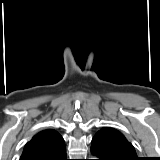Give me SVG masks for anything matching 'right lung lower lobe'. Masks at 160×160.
<instances>
[{"label":"right lung lower lobe","mask_w":160,"mask_h":160,"mask_svg":"<svg viewBox=\"0 0 160 160\" xmlns=\"http://www.w3.org/2000/svg\"><path fill=\"white\" fill-rule=\"evenodd\" d=\"M49 160H67L66 149L60 152L57 156L50 158Z\"/></svg>","instance_id":"98d812e1"}]
</instances>
